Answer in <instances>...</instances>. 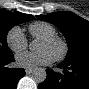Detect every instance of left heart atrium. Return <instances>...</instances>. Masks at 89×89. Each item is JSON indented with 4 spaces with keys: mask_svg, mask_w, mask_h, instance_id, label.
<instances>
[{
    "mask_svg": "<svg viewBox=\"0 0 89 89\" xmlns=\"http://www.w3.org/2000/svg\"><path fill=\"white\" fill-rule=\"evenodd\" d=\"M54 60L52 54L47 51L24 52L16 56V63L25 68H34L50 64Z\"/></svg>",
    "mask_w": 89,
    "mask_h": 89,
    "instance_id": "left-heart-atrium-1",
    "label": "left heart atrium"
}]
</instances>
